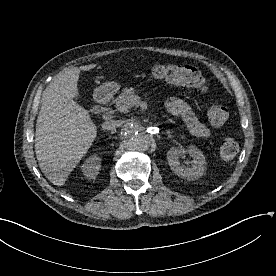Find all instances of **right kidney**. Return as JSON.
<instances>
[{
	"label": "right kidney",
	"instance_id": "obj_1",
	"mask_svg": "<svg viewBox=\"0 0 276 276\" xmlns=\"http://www.w3.org/2000/svg\"><path fill=\"white\" fill-rule=\"evenodd\" d=\"M83 175L90 179H95L100 169V158L96 155L88 158L81 166Z\"/></svg>",
	"mask_w": 276,
	"mask_h": 276
}]
</instances>
